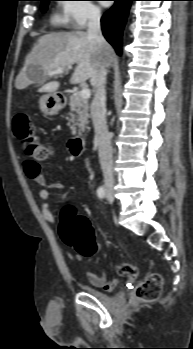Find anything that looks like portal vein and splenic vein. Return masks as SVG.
I'll list each match as a JSON object with an SVG mask.
<instances>
[{"label": "portal vein and splenic vein", "instance_id": "portal-vein-and-splenic-vein-1", "mask_svg": "<svg viewBox=\"0 0 193 349\" xmlns=\"http://www.w3.org/2000/svg\"><path fill=\"white\" fill-rule=\"evenodd\" d=\"M64 73V70L63 69H57L55 71H52L49 73V76H54V75H61ZM80 96L84 99H87L90 97V90L88 88H83L81 91H80Z\"/></svg>", "mask_w": 193, "mask_h": 349}]
</instances>
